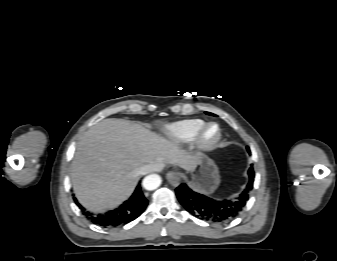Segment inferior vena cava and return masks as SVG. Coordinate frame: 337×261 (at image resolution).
<instances>
[{"label": "inferior vena cava", "mask_w": 337, "mask_h": 261, "mask_svg": "<svg viewBox=\"0 0 337 261\" xmlns=\"http://www.w3.org/2000/svg\"><path fill=\"white\" fill-rule=\"evenodd\" d=\"M161 166H163V164H161V165H158V164L145 165L144 167H142L140 169V174L145 175V174L150 173V172L158 171Z\"/></svg>", "instance_id": "inferior-vena-cava-1"}]
</instances>
